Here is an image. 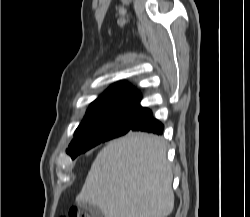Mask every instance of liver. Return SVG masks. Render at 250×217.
<instances>
[{"label":"liver","instance_id":"obj_1","mask_svg":"<svg viewBox=\"0 0 250 217\" xmlns=\"http://www.w3.org/2000/svg\"><path fill=\"white\" fill-rule=\"evenodd\" d=\"M166 146L155 135L129 133L97 155L76 201L105 217H167L174 208Z\"/></svg>","mask_w":250,"mask_h":217}]
</instances>
